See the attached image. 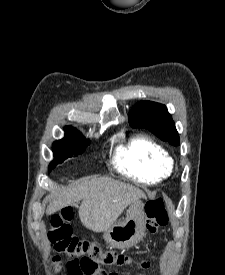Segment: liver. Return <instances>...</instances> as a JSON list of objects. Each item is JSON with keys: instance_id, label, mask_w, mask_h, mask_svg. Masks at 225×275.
<instances>
[{"instance_id": "obj_1", "label": "liver", "mask_w": 225, "mask_h": 275, "mask_svg": "<svg viewBox=\"0 0 225 275\" xmlns=\"http://www.w3.org/2000/svg\"><path fill=\"white\" fill-rule=\"evenodd\" d=\"M141 198H146L145 193L130 184L108 177H87L63 188L46 212L53 214L83 200L79 207L81 223L94 232H102L110 228L130 204Z\"/></svg>"}]
</instances>
